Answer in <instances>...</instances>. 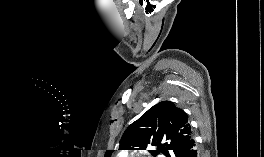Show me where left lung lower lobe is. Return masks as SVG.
Listing matches in <instances>:
<instances>
[{
  "label": "left lung lower lobe",
  "mask_w": 264,
  "mask_h": 157,
  "mask_svg": "<svg viewBox=\"0 0 264 157\" xmlns=\"http://www.w3.org/2000/svg\"><path fill=\"white\" fill-rule=\"evenodd\" d=\"M181 157H199L196 148V143L193 138L187 143V145L183 149Z\"/></svg>",
  "instance_id": "0a47b994"
}]
</instances>
